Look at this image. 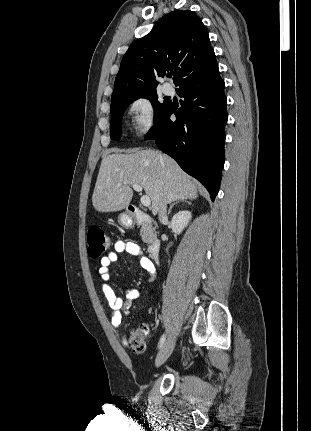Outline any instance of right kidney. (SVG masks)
Masks as SVG:
<instances>
[{
  "mask_svg": "<svg viewBox=\"0 0 311 431\" xmlns=\"http://www.w3.org/2000/svg\"><path fill=\"white\" fill-rule=\"evenodd\" d=\"M191 217L192 214L191 212H188V210H183V212L175 214L171 219L172 231H175V233H181L182 229H184L187 223H189Z\"/></svg>",
  "mask_w": 311,
  "mask_h": 431,
  "instance_id": "obj_1",
  "label": "right kidney"
}]
</instances>
